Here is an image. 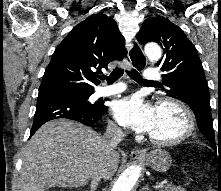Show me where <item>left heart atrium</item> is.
I'll return each instance as SVG.
<instances>
[{"instance_id": "39dd6f15", "label": "left heart atrium", "mask_w": 221, "mask_h": 191, "mask_svg": "<svg viewBox=\"0 0 221 191\" xmlns=\"http://www.w3.org/2000/svg\"><path fill=\"white\" fill-rule=\"evenodd\" d=\"M112 111L121 125L138 133H151L157 121V108L138 94L117 100Z\"/></svg>"}]
</instances>
